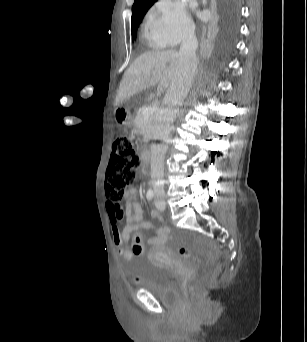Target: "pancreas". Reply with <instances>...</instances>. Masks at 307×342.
Listing matches in <instances>:
<instances>
[{
  "instance_id": "pancreas-1",
  "label": "pancreas",
  "mask_w": 307,
  "mask_h": 342,
  "mask_svg": "<svg viewBox=\"0 0 307 342\" xmlns=\"http://www.w3.org/2000/svg\"><path fill=\"white\" fill-rule=\"evenodd\" d=\"M156 120L155 114L153 116L149 117L148 120H145L144 114L142 112H137V116L134 120V126H136L137 130H144L148 136V140L152 138L153 134V124Z\"/></svg>"
}]
</instances>
